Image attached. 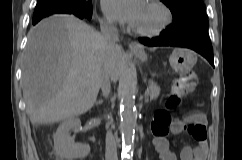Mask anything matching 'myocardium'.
<instances>
[{
    "label": "myocardium",
    "instance_id": "myocardium-1",
    "mask_svg": "<svg viewBox=\"0 0 242 160\" xmlns=\"http://www.w3.org/2000/svg\"><path fill=\"white\" fill-rule=\"evenodd\" d=\"M151 5L158 8L162 13V20L160 24L152 29H144L138 27H132V30L141 36L144 37H155L163 33L172 23L173 14L169 6L162 0H147Z\"/></svg>",
    "mask_w": 242,
    "mask_h": 160
}]
</instances>
